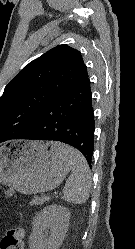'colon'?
<instances>
[{
	"label": "colon",
	"mask_w": 135,
	"mask_h": 249,
	"mask_svg": "<svg viewBox=\"0 0 135 249\" xmlns=\"http://www.w3.org/2000/svg\"><path fill=\"white\" fill-rule=\"evenodd\" d=\"M5 195L10 197L12 191L7 189ZM24 232L22 229L13 228L6 231L0 241V249H23L24 248Z\"/></svg>",
	"instance_id": "1"
}]
</instances>
